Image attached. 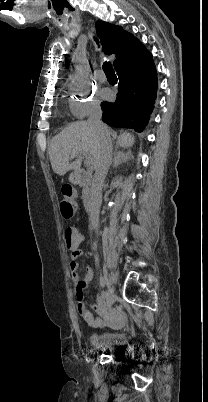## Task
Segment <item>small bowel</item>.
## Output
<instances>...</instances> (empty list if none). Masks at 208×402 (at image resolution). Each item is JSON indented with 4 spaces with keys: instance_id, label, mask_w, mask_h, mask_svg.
I'll return each mask as SVG.
<instances>
[{
    "instance_id": "c3829d8e",
    "label": "small bowel",
    "mask_w": 208,
    "mask_h": 402,
    "mask_svg": "<svg viewBox=\"0 0 208 402\" xmlns=\"http://www.w3.org/2000/svg\"><path fill=\"white\" fill-rule=\"evenodd\" d=\"M80 243L86 242L85 236L79 237ZM70 269L72 272V280L75 285V295L77 299H83L85 295V288L87 284L91 281L93 277V271L91 268L87 267L85 273L80 275L78 273V263L73 261L70 264ZM105 299L103 297H99L96 305H94V309L97 313V316H89L87 319L90 322V328L92 330H121L125 327V324L121 321H112L114 319L115 312L112 311L110 313L105 309ZM120 315H123V312H120Z\"/></svg>"
}]
</instances>
